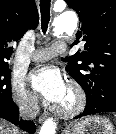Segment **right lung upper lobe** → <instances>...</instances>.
<instances>
[{
    "mask_svg": "<svg viewBox=\"0 0 116 134\" xmlns=\"http://www.w3.org/2000/svg\"><path fill=\"white\" fill-rule=\"evenodd\" d=\"M38 11L33 0H0V67L8 66L13 47L28 29L38 25Z\"/></svg>",
    "mask_w": 116,
    "mask_h": 134,
    "instance_id": "obj_1",
    "label": "right lung upper lobe"
}]
</instances>
